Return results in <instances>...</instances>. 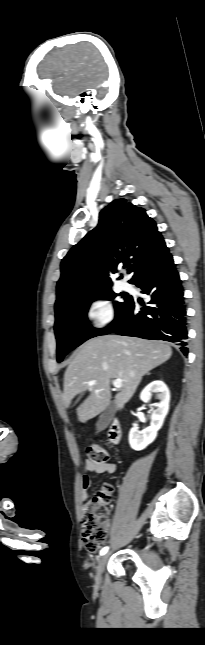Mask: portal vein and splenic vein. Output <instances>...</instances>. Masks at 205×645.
Here are the masks:
<instances>
[{"label":"portal vein and splenic vein","instance_id":"18ae733b","mask_svg":"<svg viewBox=\"0 0 205 645\" xmlns=\"http://www.w3.org/2000/svg\"><path fill=\"white\" fill-rule=\"evenodd\" d=\"M95 384L94 380L88 381L89 386H93ZM113 385L116 389H120L122 387V380L121 379H114L113 380Z\"/></svg>","mask_w":205,"mask_h":645}]
</instances>
